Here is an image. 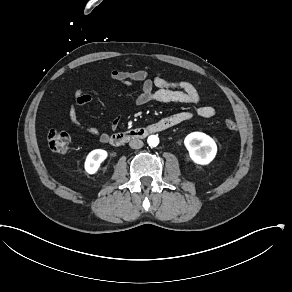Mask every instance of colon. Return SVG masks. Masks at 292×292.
<instances>
[{"instance_id":"colon-1","label":"colon","mask_w":292,"mask_h":292,"mask_svg":"<svg viewBox=\"0 0 292 292\" xmlns=\"http://www.w3.org/2000/svg\"><path fill=\"white\" fill-rule=\"evenodd\" d=\"M224 124L226 128L231 131L237 129L235 122L229 118L224 119ZM47 141L50 151L57 154H63L68 152L69 150L71 136L66 131L60 129H53L49 131V133L47 134Z\"/></svg>"}]
</instances>
